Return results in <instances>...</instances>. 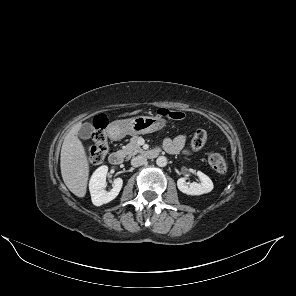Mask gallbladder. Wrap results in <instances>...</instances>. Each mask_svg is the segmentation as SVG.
Wrapping results in <instances>:
<instances>
[{"label": "gallbladder", "mask_w": 296, "mask_h": 296, "mask_svg": "<svg viewBox=\"0 0 296 296\" xmlns=\"http://www.w3.org/2000/svg\"><path fill=\"white\" fill-rule=\"evenodd\" d=\"M93 131V126L91 123H84L78 131V135L82 139H89Z\"/></svg>", "instance_id": "obj_1"}]
</instances>
